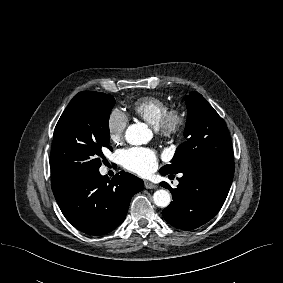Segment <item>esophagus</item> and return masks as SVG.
Wrapping results in <instances>:
<instances>
[{
	"label": "esophagus",
	"mask_w": 283,
	"mask_h": 283,
	"mask_svg": "<svg viewBox=\"0 0 283 283\" xmlns=\"http://www.w3.org/2000/svg\"><path fill=\"white\" fill-rule=\"evenodd\" d=\"M145 188H146V189H155V188H157V185H155V184L152 183V182L145 181Z\"/></svg>",
	"instance_id": "34e87169"
}]
</instances>
